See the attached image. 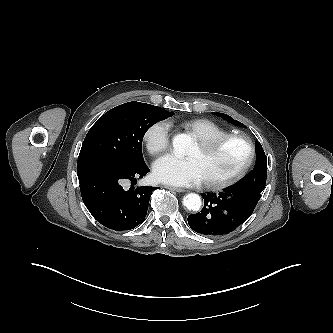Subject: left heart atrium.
Segmentation results:
<instances>
[{
	"instance_id": "39dd6f15",
	"label": "left heart atrium",
	"mask_w": 333,
	"mask_h": 333,
	"mask_svg": "<svg viewBox=\"0 0 333 333\" xmlns=\"http://www.w3.org/2000/svg\"><path fill=\"white\" fill-rule=\"evenodd\" d=\"M153 172L158 181L176 186L197 185L204 180L194 158H180L173 154L156 160Z\"/></svg>"
}]
</instances>
